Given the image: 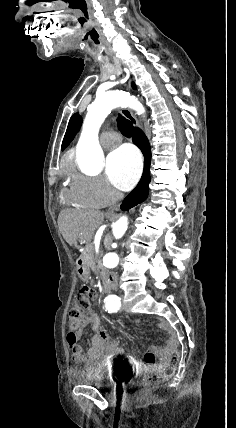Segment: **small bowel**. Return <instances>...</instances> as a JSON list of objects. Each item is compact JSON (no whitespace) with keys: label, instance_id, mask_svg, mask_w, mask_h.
<instances>
[{"label":"small bowel","instance_id":"small-bowel-1","mask_svg":"<svg viewBox=\"0 0 236 428\" xmlns=\"http://www.w3.org/2000/svg\"><path fill=\"white\" fill-rule=\"evenodd\" d=\"M88 322L91 324L95 334L91 340V346L88 349L87 357H84L79 346H70L73 352V359L76 362H82L85 359L90 361L111 360L114 357L125 356L127 362L136 369L156 368L164 363L169 353L170 346L174 342V330L167 321L161 320L159 322V327L168 335V344L151 347L150 350L144 354L143 362H141L136 357L127 355L122 347L109 338L107 332L100 328V321L95 313H90ZM83 326L84 325H81L77 329V337L80 335Z\"/></svg>","mask_w":236,"mask_h":428}]
</instances>
